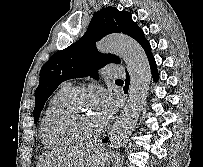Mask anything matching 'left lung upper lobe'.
Masks as SVG:
<instances>
[{
	"label": "left lung upper lobe",
	"mask_w": 203,
	"mask_h": 167,
	"mask_svg": "<svg viewBox=\"0 0 203 167\" xmlns=\"http://www.w3.org/2000/svg\"><path fill=\"white\" fill-rule=\"evenodd\" d=\"M110 33H124L141 46L147 42L143 30L132 20L131 13L106 7L96 12L86 33L69 47L56 52L41 68L40 82L35 91L34 121L37 123L45 102L65 80L91 76L98 80L97 70L120 58L97 51L96 42Z\"/></svg>",
	"instance_id": "5c2ea615"
}]
</instances>
